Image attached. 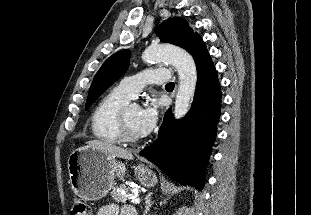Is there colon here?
<instances>
[{
	"label": "colon",
	"instance_id": "obj_1",
	"mask_svg": "<svg viewBox=\"0 0 311 215\" xmlns=\"http://www.w3.org/2000/svg\"><path fill=\"white\" fill-rule=\"evenodd\" d=\"M72 215H91L89 205L82 199L75 198L72 203Z\"/></svg>",
	"mask_w": 311,
	"mask_h": 215
}]
</instances>
